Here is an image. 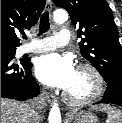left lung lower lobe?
I'll use <instances>...</instances> for the list:
<instances>
[{
	"label": "left lung lower lobe",
	"instance_id": "0a47b994",
	"mask_svg": "<svg viewBox=\"0 0 122 123\" xmlns=\"http://www.w3.org/2000/svg\"><path fill=\"white\" fill-rule=\"evenodd\" d=\"M107 88L103 98L96 102L106 104H117L122 107V76H113L106 80Z\"/></svg>",
	"mask_w": 122,
	"mask_h": 123
}]
</instances>
